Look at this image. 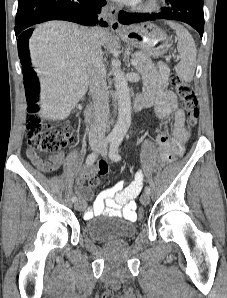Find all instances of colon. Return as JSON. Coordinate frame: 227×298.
Returning <instances> with one entry per match:
<instances>
[{
    "instance_id": "colon-1",
    "label": "colon",
    "mask_w": 227,
    "mask_h": 298,
    "mask_svg": "<svg viewBox=\"0 0 227 298\" xmlns=\"http://www.w3.org/2000/svg\"><path fill=\"white\" fill-rule=\"evenodd\" d=\"M171 84L184 102L189 124L196 125L199 118V109L192 86L175 74L171 76ZM24 88L29 112L26 126L28 145L33 150L43 153L59 154L62 149L75 140L72 129L68 127L54 129L51 126L42 124L37 115L40 111L41 86L39 78L32 68H28L25 72ZM98 171L101 175L106 174L107 165L100 162ZM98 184L97 177H92L89 181L91 187H96ZM136 211L139 213L140 218L144 217L145 208H138Z\"/></svg>"
}]
</instances>
